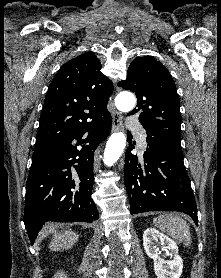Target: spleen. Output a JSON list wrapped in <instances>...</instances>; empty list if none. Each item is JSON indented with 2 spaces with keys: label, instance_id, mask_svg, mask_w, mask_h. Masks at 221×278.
Segmentation results:
<instances>
[{
  "label": "spleen",
  "instance_id": "obj_1",
  "mask_svg": "<svg viewBox=\"0 0 221 278\" xmlns=\"http://www.w3.org/2000/svg\"><path fill=\"white\" fill-rule=\"evenodd\" d=\"M155 227L169 234L179 243L191 245V233L187 222L174 214H163L153 219Z\"/></svg>",
  "mask_w": 221,
  "mask_h": 278
}]
</instances>
